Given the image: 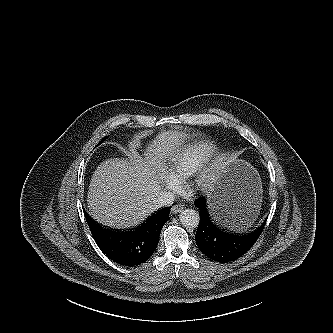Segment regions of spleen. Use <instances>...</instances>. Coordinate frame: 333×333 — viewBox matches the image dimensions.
<instances>
[{
	"instance_id": "3e777b00",
	"label": "spleen",
	"mask_w": 333,
	"mask_h": 333,
	"mask_svg": "<svg viewBox=\"0 0 333 333\" xmlns=\"http://www.w3.org/2000/svg\"><path fill=\"white\" fill-rule=\"evenodd\" d=\"M259 211H260V208H259V210H256V209L250 210L249 213L246 216H244L243 218L234 219L227 225L232 229H237V230L246 229V228L250 227L254 223V221L257 219Z\"/></svg>"
}]
</instances>
